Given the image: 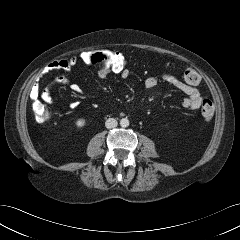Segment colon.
Masks as SVG:
<instances>
[{"label": "colon", "mask_w": 240, "mask_h": 240, "mask_svg": "<svg viewBox=\"0 0 240 240\" xmlns=\"http://www.w3.org/2000/svg\"><path fill=\"white\" fill-rule=\"evenodd\" d=\"M79 62L85 65L109 68L113 72L119 73L129 69L130 60L122 53L111 50L85 51L77 56ZM183 80L188 85L196 86L200 82L198 72L192 68H187L183 73ZM32 112L38 123H45L50 118L48 108L41 101L35 100L32 103ZM201 114L205 120H210L214 114L213 103L205 99L201 105Z\"/></svg>", "instance_id": "5ec220e1"}]
</instances>
